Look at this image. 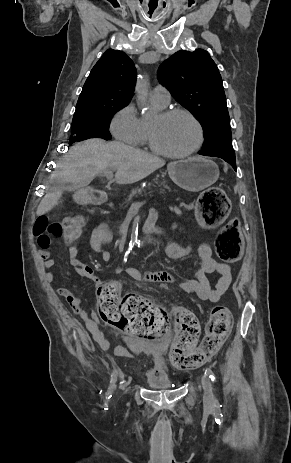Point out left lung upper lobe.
<instances>
[{"label":"left lung upper lobe","mask_w":291,"mask_h":463,"mask_svg":"<svg viewBox=\"0 0 291 463\" xmlns=\"http://www.w3.org/2000/svg\"><path fill=\"white\" fill-rule=\"evenodd\" d=\"M158 79L201 123L205 141L199 153L235 158L222 78L209 53L203 49L174 53L159 67Z\"/></svg>","instance_id":"obj_1"}]
</instances>
